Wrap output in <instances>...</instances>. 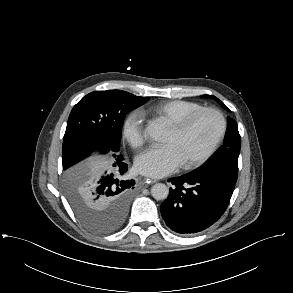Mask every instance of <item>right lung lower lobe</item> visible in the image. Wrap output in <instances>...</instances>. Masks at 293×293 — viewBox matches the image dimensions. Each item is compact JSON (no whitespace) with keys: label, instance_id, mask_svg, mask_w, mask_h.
Returning a JSON list of instances; mask_svg holds the SVG:
<instances>
[{"label":"right lung lower lobe","instance_id":"obj_1","mask_svg":"<svg viewBox=\"0 0 293 293\" xmlns=\"http://www.w3.org/2000/svg\"><path fill=\"white\" fill-rule=\"evenodd\" d=\"M114 157L115 160L111 161L113 163L107 171L92 176L91 181L85 187L84 196L94 210L99 213L121 216L124 222L135 181L117 178V176L123 175L128 167L123 162L121 155H114Z\"/></svg>","mask_w":293,"mask_h":293}]
</instances>
